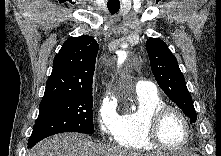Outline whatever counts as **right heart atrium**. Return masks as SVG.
Instances as JSON below:
<instances>
[{
    "label": "right heart atrium",
    "mask_w": 221,
    "mask_h": 156,
    "mask_svg": "<svg viewBox=\"0 0 221 156\" xmlns=\"http://www.w3.org/2000/svg\"><path fill=\"white\" fill-rule=\"evenodd\" d=\"M119 114L116 100L109 94H104L96 109V122L99 133L104 138L115 136Z\"/></svg>",
    "instance_id": "obj_1"
}]
</instances>
